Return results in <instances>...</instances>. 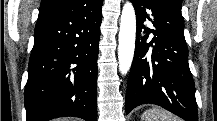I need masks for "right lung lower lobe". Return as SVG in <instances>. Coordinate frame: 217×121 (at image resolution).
<instances>
[{"label": "right lung lower lobe", "instance_id": "1", "mask_svg": "<svg viewBox=\"0 0 217 121\" xmlns=\"http://www.w3.org/2000/svg\"><path fill=\"white\" fill-rule=\"evenodd\" d=\"M103 0L38 17L24 92L27 121H97V58Z\"/></svg>", "mask_w": 217, "mask_h": 121}]
</instances>
